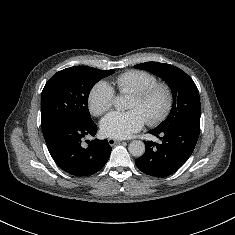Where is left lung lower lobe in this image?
<instances>
[{
	"instance_id": "obj_1",
	"label": "left lung lower lobe",
	"mask_w": 235,
	"mask_h": 235,
	"mask_svg": "<svg viewBox=\"0 0 235 235\" xmlns=\"http://www.w3.org/2000/svg\"><path fill=\"white\" fill-rule=\"evenodd\" d=\"M200 126L184 124L149 133L162 140L161 144L145 141L143 156L135 160L145 174L166 177L176 172L190 157L198 140Z\"/></svg>"
}]
</instances>
